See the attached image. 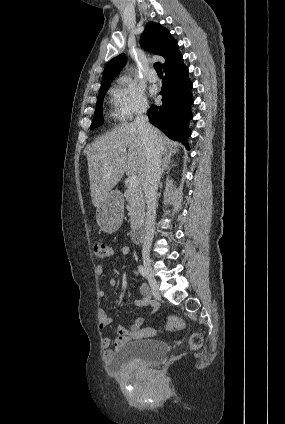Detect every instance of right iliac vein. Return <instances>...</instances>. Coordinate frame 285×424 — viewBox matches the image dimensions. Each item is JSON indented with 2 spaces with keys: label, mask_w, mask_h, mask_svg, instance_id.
Wrapping results in <instances>:
<instances>
[{
  "label": "right iliac vein",
  "mask_w": 285,
  "mask_h": 424,
  "mask_svg": "<svg viewBox=\"0 0 285 424\" xmlns=\"http://www.w3.org/2000/svg\"><path fill=\"white\" fill-rule=\"evenodd\" d=\"M144 267H145V270L147 273V279L152 291L154 292L155 295L159 296V285L154 275L152 274V269H151V264L149 259L144 260Z\"/></svg>",
  "instance_id": "right-iliac-vein-1"
}]
</instances>
